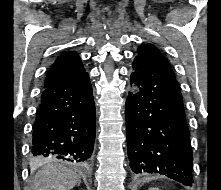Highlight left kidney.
<instances>
[{"label":"left kidney","mask_w":221,"mask_h":190,"mask_svg":"<svg viewBox=\"0 0 221 190\" xmlns=\"http://www.w3.org/2000/svg\"><path fill=\"white\" fill-rule=\"evenodd\" d=\"M148 190H160L158 188H149Z\"/></svg>","instance_id":"obj_1"}]
</instances>
